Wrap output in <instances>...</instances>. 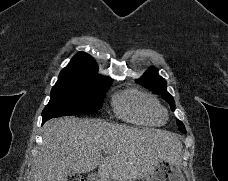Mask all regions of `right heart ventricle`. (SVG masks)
Returning <instances> with one entry per match:
<instances>
[{
  "label": "right heart ventricle",
  "instance_id": "1",
  "mask_svg": "<svg viewBox=\"0 0 228 181\" xmlns=\"http://www.w3.org/2000/svg\"><path fill=\"white\" fill-rule=\"evenodd\" d=\"M117 114L129 121L157 125L164 118V110L153 99L142 95L137 91H128L117 98Z\"/></svg>",
  "mask_w": 228,
  "mask_h": 181
}]
</instances>
